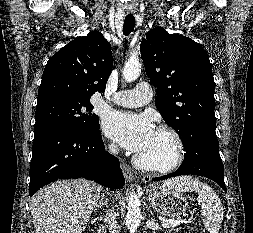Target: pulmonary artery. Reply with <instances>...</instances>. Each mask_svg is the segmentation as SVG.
Wrapping results in <instances>:
<instances>
[{
    "label": "pulmonary artery",
    "mask_w": 253,
    "mask_h": 233,
    "mask_svg": "<svg viewBox=\"0 0 253 233\" xmlns=\"http://www.w3.org/2000/svg\"><path fill=\"white\" fill-rule=\"evenodd\" d=\"M152 99V88L149 83L141 82L134 89L119 91L114 94L112 101L124 107H139Z\"/></svg>",
    "instance_id": "obj_1"
}]
</instances>
